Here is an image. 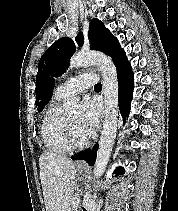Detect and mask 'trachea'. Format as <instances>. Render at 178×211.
<instances>
[{"instance_id":"trachea-1","label":"trachea","mask_w":178,"mask_h":211,"mask_svg":"<svg viewBox=\"0 0 178 211\" xmlns=\"http://www.w3.org/2000/svg\"><path fill=\"white\" fill-rule=\"evenodd\" d=\"M95 90H101L102 89V85L101 83H97L94 87Z\"/></svg>"}]
</instances>
